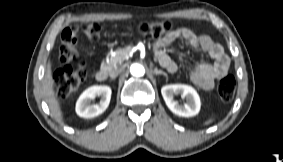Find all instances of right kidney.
I'll return each instance as SVG.
<instances>
[{"instance_id": "obj_1", "label": "right kidney", "mask_w": 283, "mask_h": 162, "mask_svg": "<svg viewBox=\"0 0 283 162\" xmlns=\"http://www.w3.org/2000/svg\"><path fill=\"white\" fill-rule=\"evenodd\" d=\"M111 88L109 86H91L86 89L76 103V113L83 118H93L102 114L108 107L111 99ZM96 96H100L99 104H91Z\"/></svg>"}]
</instances>
